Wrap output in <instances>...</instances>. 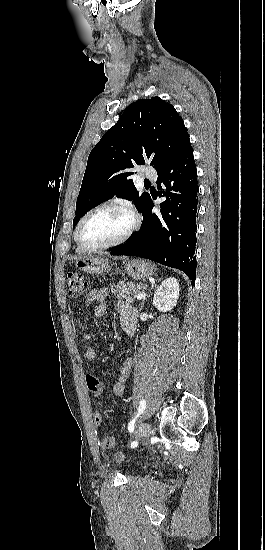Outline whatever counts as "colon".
<instances>
[{
    "label": "colon",
    "instance_id": "5ec220e1",
    "mask_svg": "<svg viewBox=\"0 0 265 550\" xmlns=\"http://www.w3.org/2000/svg\"><path fill=\"white\" fill-rule=\"evenodd\" d=\"M65 278L67 283L68 294L71 297H79L83 295L89 288L88 279L78 271H75V270L67 271ZM86 384L90 393L94 397H99L101 395L100 382L96 377L92 375H88L86 377ZM93 418L97 421L100 420L101 419L100 413L95 412L93 415ZM114 443L115 441L113 436H105L102 440V446L106 449L112 448L114 446Z\"/></svg>",
    "mask_w": 265,
    "mask_h": 550
}]
</instances>
